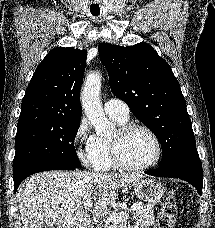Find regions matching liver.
<instances>
[{
    "mask_svg": "<svg viewBox=\"0 0 215 228\" xmlns=\"http://www.w3.org/2000/svg\"><path fill=\"white\" fill-rule=\"evenodd\" d=\"M141 178L145 176L58 170L34 174L20 184L16 194L22 224L24 228H93L83 204L96 202L93 214L102 218L116 204L114 190Z\"/></svg>",
    "mask_w": 215,
    "mask_h": 228,
    "instance_id": "obj_1",
    "label": "liver"
}]
</instances>
